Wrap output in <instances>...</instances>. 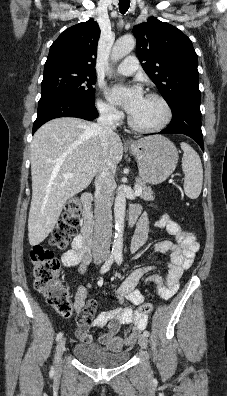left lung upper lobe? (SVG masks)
Wrapping results in <instances>:
<instances>
[{
	"label": "left lung upper lobe",
	"instance_id": "left-lung-upper-lobe-1",
	"mask_svg": "<svg viewBox=\"0 0 227 396\" xmlns=\"http://www.w3.org/2000/svg\"><path fill=\"white\" fill-rule=\"evenodd\" d=\"M133 33L142 67L169 106L182 95H200L197 54L185 34L156 18L135 26Z\"/></svg>",
	"mask_w": 227,
	"mask_h": 396
}]
</instances>
